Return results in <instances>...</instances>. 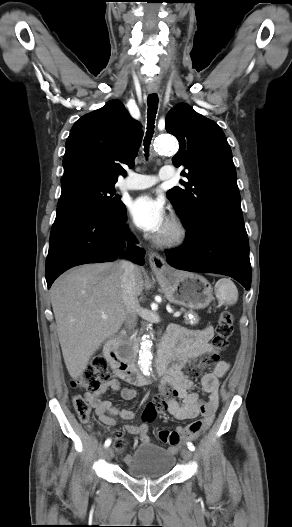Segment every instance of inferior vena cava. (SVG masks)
<instances>
[{
	"mask_svg": "<svg viewBox=\"0 0 292 527\" xmlns=\"http://www.w3.org/2000/svg\"><path fill=\"white\" fill-rule=\"evenodd\" d=\"M123 270L121 276L123 288V301L125 308V326L132 331L137 325V312L140 308L135 281V265L128 261H121Z\"/></svg>",
	"mask_w": 292,
	"mask_h": 527,
	"instance_id": "inferior-vena-cava-1",
	"label": "inferior vena cava"
}]
</instances>
